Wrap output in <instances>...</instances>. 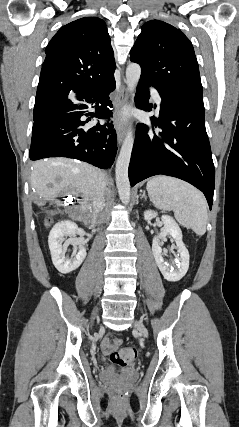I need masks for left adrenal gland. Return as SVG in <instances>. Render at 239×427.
Segmentation results:
<instances>
[{
  "label": "left adrenal gland",
  "mask_w": 239,
  "mask_h": 427,
  "mask_svg": "<svg viewBox=\"0 0 239 427\" xmlns=\"http://www.w3.org/2000/svg\"><path fill=\"white\" fill-rule=\"evenodd\" d=\"M142 198H144L145 200L147 199V196H146V194H145V191H143V194H142V196H141V199Z\"/></svg>",
  "instance_id": "1"
}]
</instances>
